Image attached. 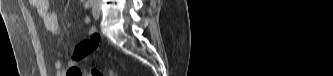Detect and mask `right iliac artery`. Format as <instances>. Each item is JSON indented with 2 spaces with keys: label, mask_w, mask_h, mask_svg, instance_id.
<instances>
[{
  "label": "right iliac artery",
  "mask_w": 333,
  "mask_h": 76,
  "mask_svg": "<svg viewBox=\"0 0 333 76\" xmlns=\"http://www.w3.org/2000/svg\"><path fill=\"white\" fill-rule=\"evenodd\" d=\"M93 5V0H88L85 2V8H90Z\"/></svg>",
  "instance_id": "obj_1"
}]
</instances>
